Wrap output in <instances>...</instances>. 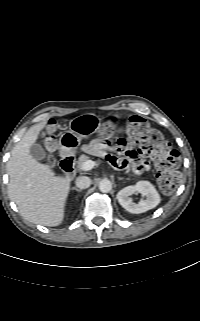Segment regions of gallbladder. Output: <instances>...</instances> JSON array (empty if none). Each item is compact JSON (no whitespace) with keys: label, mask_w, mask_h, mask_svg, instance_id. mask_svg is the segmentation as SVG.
Segmentation results:
<instances>
[{"label":"gallbladder","mask_w":200,"mask_h":321,"mask_svg":"<svg viewBox=\"0 0 200 321\" xmlns=\"http://www.w3.org/2000/svg\"><path fill=\"white\" fill-rule=\"evenodd\" d=\"M30 155L38 161L44 160L47 157L46 151L43 149V147L39 144H33L30 147Z\"/></svg>","instance_id":"1"}]
</instances>
